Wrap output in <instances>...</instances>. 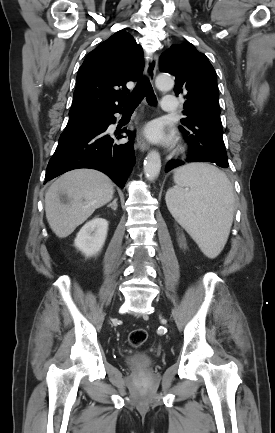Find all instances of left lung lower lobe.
Returning <instances> with one entry per match:
<instances>
[{
  "mask_svg": "<svg viewBox=\"0 0 275 433\" xmlns=\"http://www.w3.org/2000/svg\"><path fill=\"white\" fill-rule=\"evenodd\" d=\"M188 162H195V161H193L191 158H189V159H188ZM183 164H184V162H182V161H170V162L167 164L166 172L170 171L171 169H173V168H175V167L181 166V165H183ZM224 168H227V166L224 167Z\"/></svg>",
  "mask_w": 275,
  "mask_h": 433,
  "instance_id": "obj_1",
  "label": "left lung lower lobe"
}]
</instances>
